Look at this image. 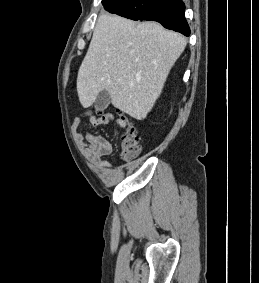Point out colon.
<instances>
[{
  "label": "colon",
  "mask_w": 259,
  "mask_h": 283,
  "mask_svg": "<svg viewBox=\"0 0 259 283\" xmlns=\"http://www.w3.org/2000/svg\"><path fill=\"white\" fill-rule=\"evenodd\" d=\"M96 114H101V110L94 111ZM120 120L125 124V132L122 134V159L129 162L135 159L141 150L140 139L135 126L123 114L119 115Z\"/></svg>",
  "instance_id": "colon-1"
}]
</instances>
